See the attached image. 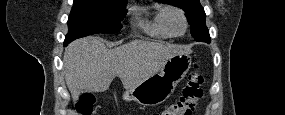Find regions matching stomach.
Wrapping results in <instances>:
<instances>
[{
    "mask_svg": "<svg viewBox=\"0 0 285 115\" xmlns=\"http://www.w3.org/2000/svg\"><path fill=\"white\" fill-rule=\"evenodd\" d=\"M191 58L181 53L168 59L160 72L142 81L132 90L123 94L125 101H135L142 106H157L165 102L174 92L177 84L186 76Z\"/></svg>",
    "mask_w": 285,
    "mask_h": 115,
    "instance_id": "obj_1",
    "label": "stomach"
}]
</instances>
